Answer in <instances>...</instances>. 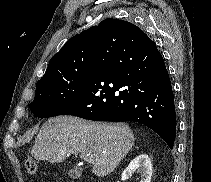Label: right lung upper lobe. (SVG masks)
I'll list each match as a JSON object with an SVG mask.
<instances>
[{
	"mask_svg": "<svg viewBox=\"0 0 211 182\" xmlns=\"http://www.w3.org/2000/svg\"><path fill=\"white\" fill-rule=\"evenodd\" d=\"M113 26L115 27L113 28ZM120 26L130 37L131 41L141 43L149 39L141 29L132 23L118 19H105L98 26H93L72 37L50 59L48 68L39 81L65 71L75 70L92 64L96 55L97 42L101 34L116 30Z\"/></svg>",
	"mask_w": 211,
	"mask_h": 182,
	"instance_id": "cb5924a9",
	"label": "right lung upper lobe"
}]
</instances>
